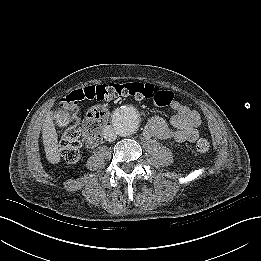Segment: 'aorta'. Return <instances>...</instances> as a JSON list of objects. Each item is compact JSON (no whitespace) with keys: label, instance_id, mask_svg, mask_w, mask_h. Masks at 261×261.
Wrapping results in <instances>:
<instances>
[{"label":"aorta","instance_id":"obj_1","mask_svg":"<svg viewBox=\"0 0 261 261\" xmlns=\"http://www.w3.org/2000/svg\"><path fill=\"white\" fill-rule=\"evenodd\" d=\"M140 122V112L131 104L118 107L112 114L113 127L121 136L133 134L139 128Z\"/></svg>","mask_w":261,"mask_h":261}]
</instances>
